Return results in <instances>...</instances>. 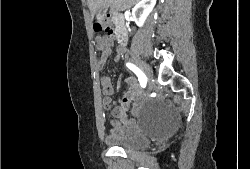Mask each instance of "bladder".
I'll list each match as a JSON object with an SVG mask.
<instances>
[{"instance_id": "bladder-1", "label": "bladder", "mask_w": 250, "mask_h": 169, "mask_svg": "<svg viewBox=\"0 0 250 169\" xmlns=\"http://www.w3.org/2000/svg\"><path fill=\"white\" fill-rule=\"evenodd\" d=\"M149 134L143 133H113L105 134L104 140L109 148H118L129 151L146 149L152 145L148 142Z\"/></svg>"}]
</instances>
